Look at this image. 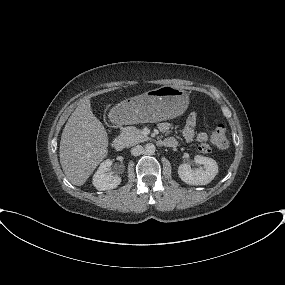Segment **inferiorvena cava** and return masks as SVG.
<instances>
[{
    "mask_svg": "<svg viewBox=\"0 0 285 285\" xmlns=\"http://www.w3.org/2000/svg\"><path fill=\"white\" fill-rule=\"evenodd\" d=\"M143 152H144V149L141 145H137L131 149V154L133 156L141 155V154H143Z\"/></svg>",
    "mask_w": 285,
    "mask_h": 285,
    "instance_id": "obj_1",
    "label": "inferior vena cava"
}]
</instances>
